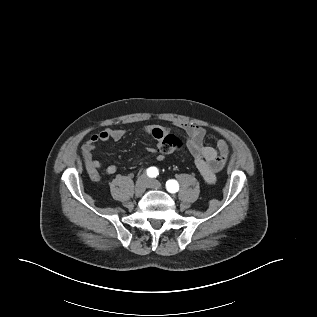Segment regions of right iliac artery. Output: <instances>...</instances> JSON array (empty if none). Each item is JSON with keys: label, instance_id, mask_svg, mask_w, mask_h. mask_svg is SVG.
Segmentation results:
<instances>
[{"label": "right iliac artery", "instance_id": "obj_1", "mask_svg": "<svg viewBox=\"0 0 317 317\" xmlns=\"http://www.w3.org/2000/svg\"><path fill=\"white\" fill-rule=\"evenodd\" d=\"M147 175L151 178L157 177L159 174L158 169L156 167H150L146 170Z\"/></svg>", "mask_w": 317, "mask_h": 317}]
</instances>
